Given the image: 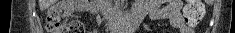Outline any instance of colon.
<instances>
[{
	"label": "colon",
	"mask_w": 235,
	"mask_h": 33,
	"mask_svg": "<svg viewBox=\"0 0 235 33\" xmlns=\"http://www.w3.org/2000/svg\"><path fill=\"white\" fill-rule=\"evenodd\" d=\"M203 14L204 8L199 0H187L184 7V18L187 25L196 26ZM46 30L48 33H85V26L78 20L61 22L60 10L52 9L46 17Z\"/></svg>",
	"instance_id": "colon-1"
}]
</instances>
